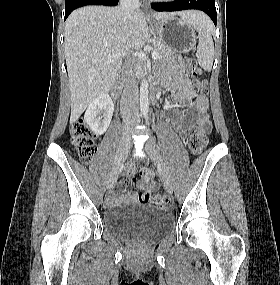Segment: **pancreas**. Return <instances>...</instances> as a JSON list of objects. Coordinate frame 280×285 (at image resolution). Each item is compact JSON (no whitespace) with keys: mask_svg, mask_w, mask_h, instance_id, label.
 I'll list each match as a JSON object with an SVG mask.
<instances>
[{"mask_svg":"<svg viewBox=\"0 0 280 285\" xmlns=\"http://www.w3.org/2000/svg\"><path fill=\"white\" fill-rule=\"evenodd\" d=\"M153 46V51H156L159 54V58L169 57L175 53L172 48L168 47L167 45L158 40H155L153 42ZM135 69L137 77H142L146 72V65L144 63H137Z\"/></svg>","mask_w":280,"mask_h":285,"instance_id":"obj_1","label":"pancreas"}]
</instances>
